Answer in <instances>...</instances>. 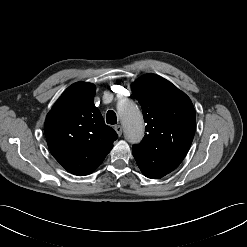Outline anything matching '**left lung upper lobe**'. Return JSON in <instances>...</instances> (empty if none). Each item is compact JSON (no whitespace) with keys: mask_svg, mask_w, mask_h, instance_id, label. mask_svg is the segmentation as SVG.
Returning a JSON list of instances; mask_svg holds the SVG:
<instances>
[{"mask_svg":"<svg viewBox=\"0 0 247 247\" xmlns=\"http://www.w3.org/2000/svg\"><path fill=\"white\" fill-rule=\"evenodd\" d=\"M147 123L143 141L133 146L139 168L162 163L178 166L186 156L196 129V115L190 98L171 82L146 74L132 84Z\"/></svg>","mask_w":247,"mask_h":247,"instance_id":"1","label":"left lung upper lobe"}]
</instances>
